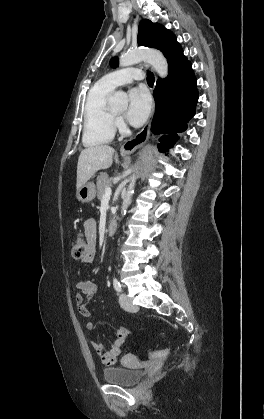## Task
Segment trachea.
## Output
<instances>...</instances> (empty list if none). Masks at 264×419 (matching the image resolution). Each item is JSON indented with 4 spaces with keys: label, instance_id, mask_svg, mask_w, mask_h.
Masks as SVG:
<instances>
[{
    "label": "trachea",
    "instance_id": "trachea-1",
    "mask_svg": "<svg viewBox=\"0 0 264 419\" xmlns=\"http://www.w3.org/2000/svg\"><path fill=\"white\" fill-rule=\"evenodd\" d=\"M154 81H155V79H154L153 74L150 71H148L147 72V83L148 84H153Z\"/></svg>",
    "mask_w": 264,
    "mask_h": 419
}]
</instances>
